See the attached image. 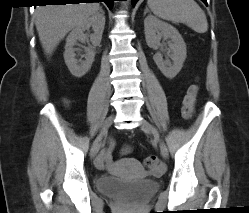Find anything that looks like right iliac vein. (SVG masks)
Here are the masks:
<instances>
[{
  "label": "right iliac vein",
  "instance_id": "right-iliac-vein-1",
  "mask_svg": "<svg viewBox=\"0 0 249 213\" xmlns=\"http://www.w3.org/2000/svg\"><path fill=\"white\" fill-rule=\"evenodd\" d=\"M113 120H114V117L109 116L104 121L103 126H102L101 131H100V134L98 135L99 140L93 143L92 148L90 150L91 158H94L97 155V153H98V151L100 149L101 139L107 133V130L112 125Z\"/></svg>",
  "mask_w": 249,
  "mask_h": 213
}]
</instances>
